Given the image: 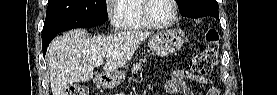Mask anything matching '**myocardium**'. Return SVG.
Listing matches in <instances>:
<instances>
[{
	"label": "myocardium",
	"mask_w": 277,
	"mask_h": 95,
	"mask_svg": "<svg viewBox=\"0 0 277 95\" xmlns=\"http://www.w3.org/2000/svg\"><path fill=\"white\" fill-rule=\"evenodd\" d=\"M151 0H144V4H143V16L145 18V20L147 21V23L153 27V28H168L170 26H172L175 21H176V18L178 16V5H177V1L176 0H170V2L172 3L173 5V15L171 17V19L167 22H164V23H157L155 20H153L149 13H148V7H149V3H150Z\"/></svg>",
	"instance_id": "obj_1"
}]
</instances>
